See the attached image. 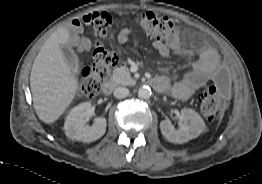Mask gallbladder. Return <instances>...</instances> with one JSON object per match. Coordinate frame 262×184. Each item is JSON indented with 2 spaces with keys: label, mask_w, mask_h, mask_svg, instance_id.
Instances as JSON below:
<instances>
[{
  "label": "gallbladder",
  "mask_w": 262,
  "mask_h": 184,
  "mask_svg": "<svg viewBox=\"0 0 262 184\" xmlns=\"http://www.w3.org/2000/svg\"><path fill=\"white\" fill-rule=\"evenodd\" d=\"M62 52L65 58V61L72 72L76 73L79 70V59L75 52L70 47H63Z\"/></svg>",
  "instance_id": "1"
}]
</instances>
